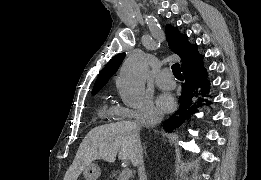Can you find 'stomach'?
I'll return each instance as SVG.
<instances>
[{
    "label": "stomach",
    "instance_id": "stomach-1",
    "mask_svg": "<svg viewBox=\"0 0 261 180\" xmlns=\"http://www.w3.org/2000/svg\"><path fill=\"white\" fill-rule=\"evenodd\" d=\"M83 175L86 180H97L101 175V170L96 164L90 163L84 169Z\"/></svg>",
    "mask_w": 261,
    "mask_h": 180
}]
</instances>
